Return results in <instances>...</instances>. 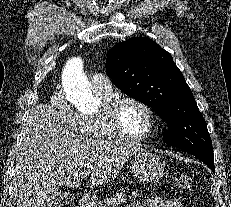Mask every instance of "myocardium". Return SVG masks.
Masks as SVG:
<instances>
[{
    "instance_id": "obj_1",
    "label": "myocardium",
    "mask_w": 231,
    "mask_h": 207,
    "mask_svg": "<svg viewBox=\"0 0 231 207\" xmlns=\"http://www.w3.org/2000/svg\"><path fill=\"white\" fill-rule=\"evenodd\" d=\"M129 102L139 105L147 113L149 119V128L148 131L141 136L133 137L126 134L118 122V111L120 107L123 104ZM100 116L109 134L112 137L124 142H144L150 139L155 134L157 129V116L152 107L145 101L133 96H116L114 98H111V100L103 103Z\"/></svg>"
}]
</instances>
